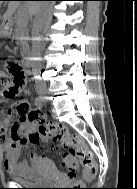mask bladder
<instances>
[{
  "instance_id": "31cf9c89",
  "label": "bladder",
  "mask_w": 137,
  "mask_h": 189,
  "mask_svg": "<svg viewBox=\"0 0 137 189\" xmlns=\"http://www.w3.org/2000/svg\"><path fill=\"white\" fill-rule=\"evenodd\" d=\"M9 177L17 183L24 185H49L59 177L54 162L48 157H41L36 164L30 166L26 173L12 171Z\"/></svg>"
}]
</instances>
